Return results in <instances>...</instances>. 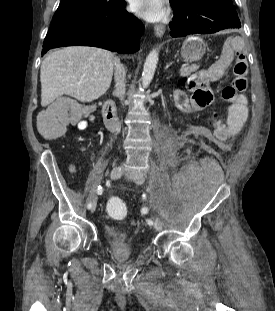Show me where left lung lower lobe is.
I'll list each match as a JSON object with an SVG mask.
<instances>
[{
  "instance_id": "obj_1",
  "label": "left lung lower lobe",
  "mask_w": 275,
  "mask_h": 311,
  "mask_svg": "<svg viewBox=\"0 0 275 311\" xmlns=\"http://www.w3.org/2000/svg\"><path fill=\"white\" fill-rule=\"evenodd\" d=\"M170 3L174 10L170 23L172 37L210 34L241 27L235 7L228 3L215 0H195L186 5L173 1Z\"/></svg>"
}]
</instances>
